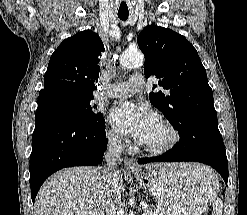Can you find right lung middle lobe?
I'll use <instances>...</instances> for the list:
<instances>
[{"mask_svg":"<svg viewBox=\"0 0 247 215\" xmlns=\"http://www.w3.org/2000/svg\"><path fill=\"white\" fill-rule=\"evenodd\" d=\"M92 94H84L67 88L42 90L38 107H45L80 119L91 124L104 122L101 113H96V105L91 103Z\"/></svg>","mask_w":247,"mask_h":215,"instance_id":"dd1d6c3e","label":"right lung middle lobe"}]
</instances>
